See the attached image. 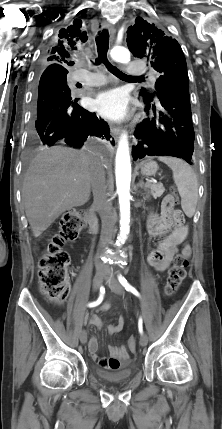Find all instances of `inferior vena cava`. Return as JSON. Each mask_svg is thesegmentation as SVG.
Masks as SVG:
<instances>
[{"mask_svg": "<svg viewBox=\"0 0 222 429\" xmlns=\"http://www.w3.org/2000/svg\"><path fill=\"white\" fill-rule=\"evenodd\" d=\"M104 160L102 156H97L92 167V192L94 204L100 214L102 221V230L100 237V248L105 249L111 242L116 216L112 211V205L109 200L108 186L105 177Z\"/></svg>", "mask_w": 222, "mask_h": 429, "instance_id": "1", "label": "inferior vena cava"}]
</instances>
